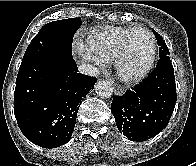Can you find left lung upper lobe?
<instances>
[{
	"mask_svg": "<svg viewBox=\"0 0 196 166\" xmlns=\"http://www.w3.org/2000/svg\"><path fill=\"white\" fill-rule=\"evenodd\" d=\"M153 33L157 39L158 45L160 46L159 47V56L162 57L165 55H169L170 53H169L168 47H167L165 41L163 40V38L155 30H153Z\"/></svg>",
	"mask_w": 196,
	"mask_h": 166,
	"instance_id": "5c2ea615",
	"label": "left lung upper lobe"
}]
</instances>
